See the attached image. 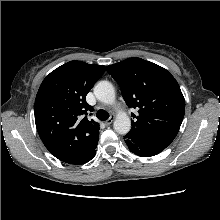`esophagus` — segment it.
Segmentation results:
<instances>
[{"label": "esophagus", "mask_w": 220, "mask_h": 220, "mask_svg": "<svg viewBox=\"0 0 220 220\" xmlns=\"http://www.w3.org/2000/svg\"><path fill=\"white\" fill-rule=\"evenodd\" d=\"M114 121V116H111L108 120H106L104 123L106 126L110 125Z\"/></svg>", "instance_id": "34e87169"}]
</instances>
